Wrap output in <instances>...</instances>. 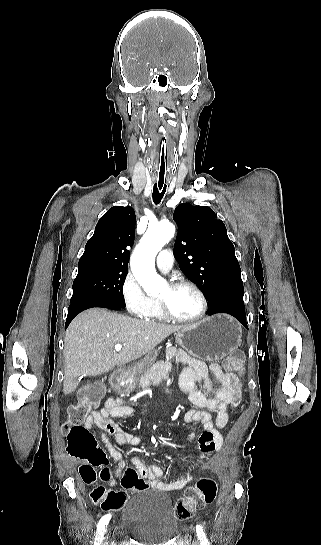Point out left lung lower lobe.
<instances>
[{"mask_svg":"<svg viewBox=\"0 0 321 545\" xmlns=\"http://www.w3.org/2000/svg\"><path fill=\"white\" fill-rule=\"evenodd\" d=\"M243 282L228 283L219 288L208 300L210 310L208 315L227 313L237 318L247 329L245 307L243 301Z\"/></svg>","mask_w":321,"mask_h":545,"instance_id":"0a47b994","label":"left lung lower lobe"}]
</instances>
